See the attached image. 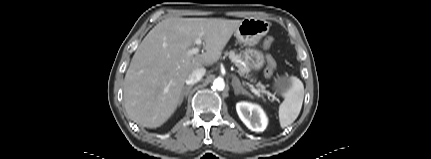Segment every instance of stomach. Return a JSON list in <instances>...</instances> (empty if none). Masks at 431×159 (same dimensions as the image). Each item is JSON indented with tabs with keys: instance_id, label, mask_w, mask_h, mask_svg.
I'll return each mask as SVG.
<instances>
[{
	"instance_id": "0dacf381",
	"label": "stomach",
	"mask_w": 431,
	"mask_h": 159,
	"mask_svg": "<svg viewBox=\"0 0 431 159\" xmlns=\"http://www.w3.org/2000/svg\"><path fill=\"white\" fill-rule=\"evenodd\" d=\"M270 23L262 18H245L234 32L238 42L247 46L243 51V59L249 69L258 71L264 65L263 53L255 46L269 31ZM293 87L292 77L282 76L274 81V89L277 93L285 95Z\"/></svg>"
}]
</instances>
